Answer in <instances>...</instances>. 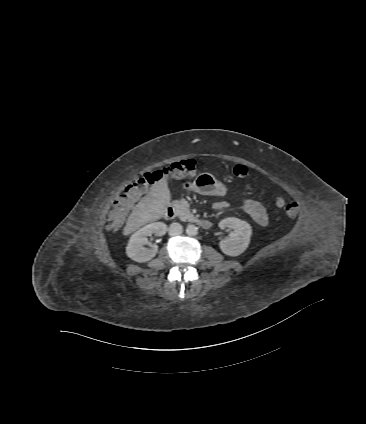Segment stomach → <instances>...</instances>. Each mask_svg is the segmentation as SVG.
Returning <instances> with one entry per match:
<instances>
[{"instance_id": "stomach-1", "label": "stomach", "mask_w": 366, "mask_h": 424, "mask_svg": "<svg viewBox=\"0 0 366 424\" xmlns=\"http://www.w3.org/2000/svg\"><path fill=\"white\" fill-rule=\"evenodd\" d=\"M186 184L194 192L202 195L224 196L226 194L225 185L210 173H200L192 183L187 182Z\"/></svg>"}]
</instances>
